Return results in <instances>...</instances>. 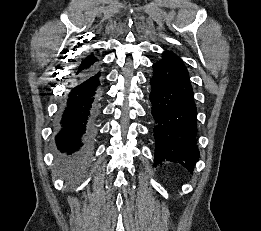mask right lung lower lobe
Returning <instances> with one entry per match:
<instances>
[{"label": "right lung lower lobe", "mask_w": 261, "mask_h": 231, "mask_svg": "<svg viewBox=\"0 0 261 231\" xmlns=\"http://www.w3.org/2000/svg\"><path fill=\"white\" fill-rule=\"evenodd\" d=\"M101 82L102 74L96 66L76 76L63 94L55 129V141L63 163L79 164L89 156L96 133Z\"/></svg>", "instance_id": "98d812e1"}]
</instances>
